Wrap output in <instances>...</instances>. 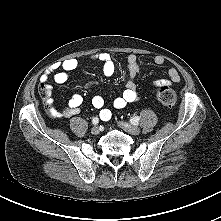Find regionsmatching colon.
Segmentation results:
<instances>
[{"label":"colon","mask_w":221,"mask_h":221,"mask_svg":"<svg viewBox=\"0 0 221 221\" xmlns=\"http://www.w3.org/2000/svg\"><path fill=\"white\" fill-rule=\"evenodd\" d=\"M41 97L46 101L50 110H53L50 100V92L46 86H42L40 89ZM156 97L158 101L167 107H172L176 103V93L175 91L167 85H161L156 92Z\"/></svg>","instance_id":"colon-1"}]
</instances>
